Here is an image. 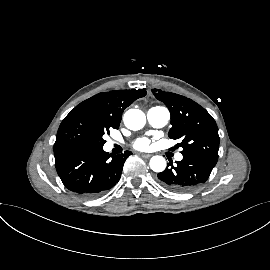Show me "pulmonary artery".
Wrapping results in <instances>:
<instances>
[{
    "label": "pulmonary artery",
    "instance_id": "pulmonary-artery-1",
    "mask_svg": "<svg viewBox=\"0 0 270 270\" xmlns=\"http://www.w3.org/2000/svg\"><path fill=\"white\" fill-rule=\"evenodd\" d=\"M170 118L169 111L160 106L152 107L147 111V120L154 128L164 127ZM183 158L181 153L176 155V160L180 161Z\"/></svg>",
    "mask_w": 270,
    "mask_h": 270
}]
</instances>
